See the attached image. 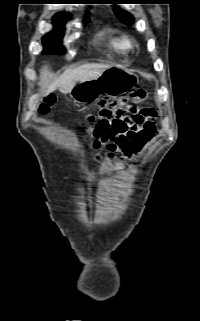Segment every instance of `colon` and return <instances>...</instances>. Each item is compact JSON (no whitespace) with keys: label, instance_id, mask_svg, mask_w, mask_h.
I'll return each mask as SVG.
<instances>
[{"label":"colon","instance_id":"obj_1","mask_svg":"<svg viewBox=\"0 0 200 321\" xmlns=\"http://www.w3.org/2000/svg\"><path fill=\"white\" fill-rule=\"evenodd\" d=\"M145 98L146 92L144 90L132 92L121 99L102 98L98 102V111L93 117L100 121L114 122L130 113H141L147 110L141 105ZM54 103L55 99L53 97H47L40 105L39 112L46 114Z\"/></svg>","mask_w":200,"mask_h":321}]
</instances>
